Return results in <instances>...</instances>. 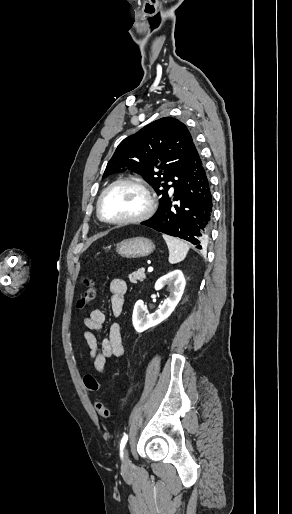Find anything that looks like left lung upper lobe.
Wrapping results in <instances>:
<instances>
[{"instance_id": "obj_1", "label": "left lung upper lobe", "mask_w": 292, "mask_h": 514, "mask_svg": "<svg viewBox=\"0 0 292 514\" xmlns=\"http://www.w3.org/2000/svg\"><path fill=\"white\" fill-rule=\"evenodd\" d=\"M193 143L184 123L163 117L125 138L109 160L102 178L131 170L142 175L161 199L185 171ZM170 181L172 185L168 184Z\"/></svg>"}]
</instances>
